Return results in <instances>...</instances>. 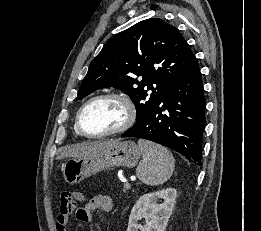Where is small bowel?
Masks as SVG:
<instances>
[{"instance_id":"obj_1","label":"small bowel","mask_w":261,"mask_h":231,"mask_svg":"<svg viewBox=\"0 0 261 231\" xmlns=\"http://www.w3.org/2000/svg\"><path fill=\"white\" fill-rule=\"evenodd\" d=\"M80 199H84L82 194H79ZM112 209L111 198L105 195H96L92 197L83 207L76 210L75 215L79 222L88 224L91 221L94 211L109 212ZM68 217L58 214L56 219L57 231H65V225Z\"/></svg>"}]
</instances>
